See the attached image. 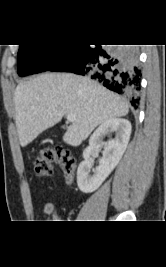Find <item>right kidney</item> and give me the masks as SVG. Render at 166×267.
I'll return each instance as SVG.
<instances>
[{"mask_svg": "<svg viewBox=\"0 0 166 267\" xmlns=\"http://www.w3.org/2000/svg\"><path fill=\"white\" fill-rule=\"evenodd\" d=\"M109 132H115L116 137L105 144L103 137ZM130 135L131 124L123 118L109 119L95 130L89 139V146L83 151L84 160L77 169V184L83 193L95 191L113 171L127 148ZM101 147H104L103 157L99 166L92 170L93 175H90L94 163L90 155Z\"/></svg>", "mask_w": 166, "mask_h": 267, "instance_id": "ca27d5eb", "label": "right kidney"}]
</instances>
